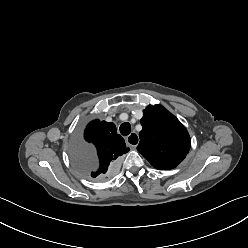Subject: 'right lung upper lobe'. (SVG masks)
Segmentation results:
<instances>
[{"label":"right lung upper lobe","mask_w":248,"mask_h":248,"mask_svg":"<svg viewBox=\"0 0 248 248\" xmlns=\"http://www.w3.org/2000/svg\"><path fill=\"white\" fill-rule=\"evenodd\" d=\"M84 138L95 152L96 167L89 173L94 179L105 177L117 164L119 157L130 150L121 135L117 134L115 124L112 122L99 120L90 122L85 129Z\"/></svg>","instance_id":"cb5924a9"}]
</instances>
